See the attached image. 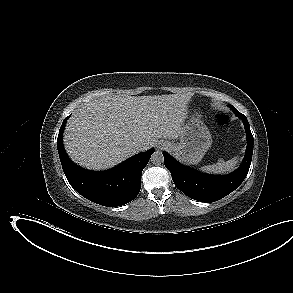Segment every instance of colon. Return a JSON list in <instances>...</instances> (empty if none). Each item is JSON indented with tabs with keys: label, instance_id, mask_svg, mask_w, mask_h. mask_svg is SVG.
<instances>
[{
	"label": "colon",
	"instance_id": "5ec220e1",
	"mask_svg": "<svg viewBox=\"0 0 293 293\" xmlns=\"http://www.w3.org/2000/svg\"><path fill=\"white\" fill-rule=\"evenodd\" d=\"M215 121L219 126H228L230 124L229 117L223 114L217 115Z\"/></svg>",
	"mask_w": 293,
	"mask_h": 293
}]
</instances>
